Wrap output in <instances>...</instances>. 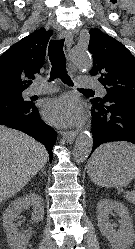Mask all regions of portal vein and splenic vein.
I'll return each mask as SVG.
<instances>
[{
  "label": "portal vein and splenic vein",
  "mask_w": 135,
  "mask_h": 249,
  "mask_svg": "<svg viewBox=\"0 0 135 249\" xmlns=\"http://www.w3.org/2000/svg\"><path fill=\"white\" fill-rule=\"evenodd\" d=\"M125 194H126L127 196H134V195H135V193H133V192H125Z\"/></svg>",
  "instance_id": "obj_1"
}]
</instances>
